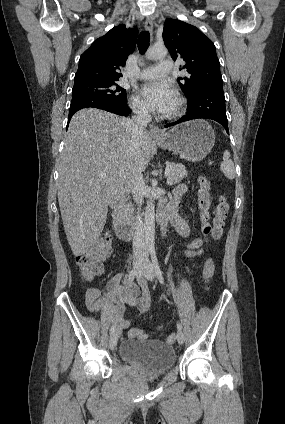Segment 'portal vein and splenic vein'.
I'll return each mask as SVG.
<instances>
[{"instance_id":"obj_1","label":"portal vein and splenic vein","mask_w":285,"mask_h":424,"mask_svg":"<svg viewBox=\"0 0 285 424\" xmlns=\"http://www.w3.org/2000/svg\"><path fill=\"white\" fill-rule=\"evenodd\" d=\"M171 170H172L171 165H168V166L166 167V169H165V176H166V177L170 174V171H171ZM100 176H101V177H105V176H106V174H105L104 172H102V173H100Z\"/></svg>"}]
</instances>
